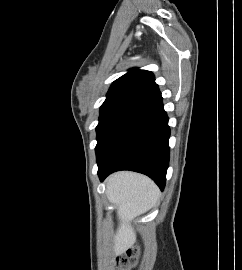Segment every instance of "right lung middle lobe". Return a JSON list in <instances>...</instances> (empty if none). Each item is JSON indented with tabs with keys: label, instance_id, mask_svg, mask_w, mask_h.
Segmentation results:
<instances>
[{
	"label": "right lung middle lobe",
	"instance_id": "dd1d6c3e",
	"mask_svg": "<svg viewBox=\"0 0 242 270\" xmlns=\"http://www.w3.org/2000/svg\"><path fill=\"white\" fill-rule=\"evenodd\" d=\"M136 108V106L128 104L101 106L99 123L96 127L97 145L95 151L97 158L106 149L122 124Z\"/></svg>",
	"mask_w": 242,
	"mask_h": 270
}]
</instances>
